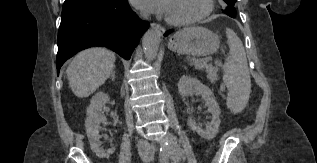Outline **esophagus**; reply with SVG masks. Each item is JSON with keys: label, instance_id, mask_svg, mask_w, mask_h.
Returning <instances> with one entry per match:
<instances>
[{"label": "esophagus", "instance_id": "34e87169", "mask_svg": "<svg viewBox=\"0 0 317 163\" xmlns=\"http://www.w3.org/2000/svg\"><path fill=\"white\" fill-rule=\"evenodd\" d=\"M151 28L156 30L159 35H163L165 33V28L157 23H151Z\"/></svg>", "mask_w": 317, "mask_h": 163}]
</instances>
